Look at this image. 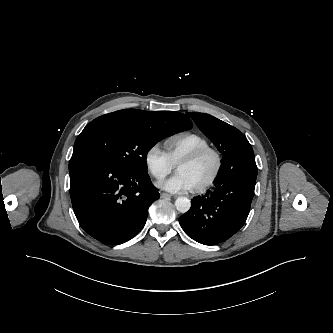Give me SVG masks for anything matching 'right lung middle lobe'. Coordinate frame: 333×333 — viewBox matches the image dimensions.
<instances>
[{
	"mask_svg": "<svg viewBox=\"0 0 333 333\" xmlns=\"http://www.w3.org/2000/svg\"><path fill=\"white\" fill-rule=\"evenodd\" d=\"M186 130L180 124H149L127 117L102 115L77 137L74 150L97 153L129 172L147 174V153L164 137Z\"/></svg>",
	"mask_w": 333,
	"mask_h": 333,
	"instance_id": "obj_1",
	"label": "right lung middle lobe"
}]
</instances>
